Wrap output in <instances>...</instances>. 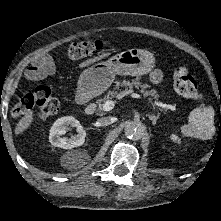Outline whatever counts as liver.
I'll return each mask as SVG.
<instances>
[{
  "instance_id": "1",
  "label": "liver",
  "mask_w": 221,
  "mask_h": 221,
  "mask_svg": "<svg viewBox=\"0 0 221 221\" xmlns=\"http://www.w3.org/2000/svg\"><path fill=\"white\" fill-rule=\"evenodd\" d=\"M110 54L111 53H109V52L108 53H102L101 55H99L97 57H94L92 59H88V60L82 62L81 64H79V67L83 68L85 66H88L91 63H94L98 60H101L102 58H105V57L109 56ZM32 122H33V113L29 112L24 117H22L20 119V121L18 122V124L15 128V134L18 135V134L24 132L26 129H28L30 127Z\"/></svg>"
}]
</instances>
